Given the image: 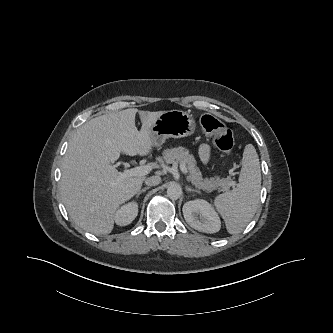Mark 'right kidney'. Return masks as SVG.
Masks as SVG:
<instances>
[{"label": "right kidney", "mask_w": 333, "mask_h": 333, "mask_svg": "<svg viewBox=\"0 0 333 333\" xmlns=\"http://www.w3.org/2000/svg\"><path fill=\"white\" fill-rule=\"evenodd\" d=\"M138 214V204L136 202H129L121 206L115 213V222L119 226H126L130 224Z\"/></svg>", "instance_id": "right-kidney-1"}]
</instances>
